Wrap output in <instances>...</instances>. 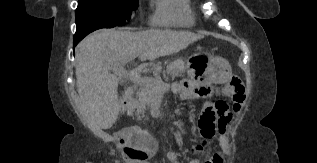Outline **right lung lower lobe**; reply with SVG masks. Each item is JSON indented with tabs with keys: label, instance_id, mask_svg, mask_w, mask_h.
<instances>
[{
	"label": "right lung lower lobe",
	"instance_id": "right-lung-lower-lobe-1",
	"mask_svg": "<svg viewBox=\"0 0 317 163\" xmlns=\"http://www.w3.org/2000/svg\"><path fill=\"white\" fill-rule=\"evenodd\" d=\"M81 39H76V40H74V47L77 45V43L80 41Z\"/></svg>",
	"mask_w": 317,
	"mask_h": 163
}]
</instances>
